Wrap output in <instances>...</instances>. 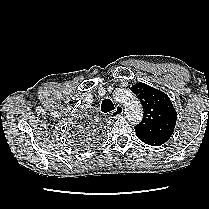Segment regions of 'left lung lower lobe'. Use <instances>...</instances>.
<instances>
[{"label":"left lung lower lobe","instance_id":"obj_1","mask_svg":"<svg viewBox=\"0 0 209 209\" xmlns=\"http://www.w3.org/2000/svg\"><path fill=\"white\" fill-rule=\"evenodd\" d=\"M142 142L145 144L151 145V146H160L166 141L161 139V138H146V137H141L137 136Z\"/></svg>","mask_w":209,"mask_h":209}]
</instances>
